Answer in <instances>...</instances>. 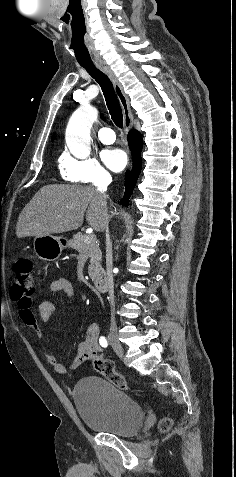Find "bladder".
I'll return each instance as SVG.
<instances>
[{
  "label": "bladder",
  "instance_id": "obj_1",
  "mask_svg": "<svg viewBox=\"0 0 236 477\" xmlns=\"http://www.w3.org/2000/svg\"><path fill=\"white\" fill-rule=\"evenodd\" d=\"M73 399L80 418L91 430L127 437L137 434L142 427L141 405L104 378L80 380Z\"/></svg>",
  "mask_w": 236,
  "mask_h": 477
}]
</instances>
